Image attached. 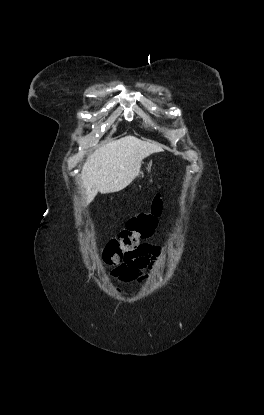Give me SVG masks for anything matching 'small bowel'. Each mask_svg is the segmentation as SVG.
Instances as JSON below:
<instances>
[{"label":"small bowel","instance_id":"small-bowel-1","mask_svg":"<svg viewBox=\"0 0 264 415\" xmlns=\"http://www.w3.org/2000/svg\"><path fill=\"white\" fill-rule=\"evenodd\" d=\"M164 255L163 248L157 244H146L141 247L131 262L122 269L115 268L111 272L113 278L122 282L141 281L140 272L152 269Z\"/></svg>","mask_w":264,"mask_h":415}]
</instances>
